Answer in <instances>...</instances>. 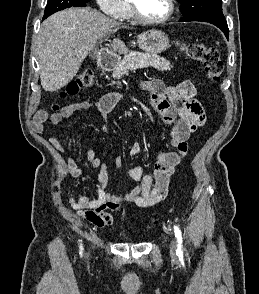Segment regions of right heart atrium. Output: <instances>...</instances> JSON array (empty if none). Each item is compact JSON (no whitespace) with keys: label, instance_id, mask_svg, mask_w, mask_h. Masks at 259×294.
<instances>
[{"label":"right heart atrium","instance_id":"obj_1","mask_svg":"<svg viewBox=\"0 0 259 294\" xmlns=\"http://www.w3.org/2000/svg\"><path fill=\"white\" fill-rule=\"evenodd\" d=\"M102 12L115 19H123L127 11L126 0H96Z\"/></svg>","mask_w":259,"mask_h":294}]
</instances>
